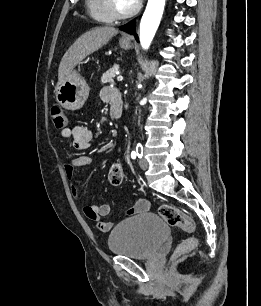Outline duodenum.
I'll use <instances>...</instances> for the list:
<instances>
[{"instance_id": "410a0bca", "label": "duodenum", "mask_w": 261, "mask_h": 306, "mask_svg": "<svg viewBox=\"0 0 261 306\" xmlns=\"http://www.w3.org/2000/svg\"><path fill=\"white\" fill-rule=\"evenodd\" d=\"M111 114L114 118H119L122 114V106L116 102L111 106Z\"/></svg>"}]
</instances>
